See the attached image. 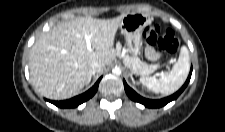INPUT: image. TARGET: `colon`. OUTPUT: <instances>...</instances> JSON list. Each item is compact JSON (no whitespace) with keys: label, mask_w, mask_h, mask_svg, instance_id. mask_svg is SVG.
<instances>
[{"label":"colon","mask_w":225,"mask_h":132,"mask_svg":"<svg viewBox=\"0 0 225 132\" xmlns=\"http://www.w3.org/2000/svg\"><path fill=\"white\" fill-rule=\"evenodd\" d=\"M143 36L149 46H157V48L166 54H173L177 51L179 42L170 29L161 31L158 24L152 23L143 30Z\"/></svg>","instance_id":"obj_1"}]
</instances>
